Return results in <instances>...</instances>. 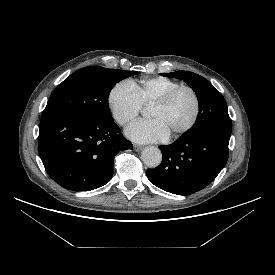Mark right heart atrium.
<instances>
[{
	"label": "right heart atrium",
	"mask_w": 275,
	"mask_h": 275,
	"mask_svg": "<svg viewBox=\"0 0 275 275\" xmlns=\"http://www.w3.org/2000/svg\"><path fill=\"white\" fill-rule=\"evenodd\" d=\"M108 105L114 120L121 126L129 124L142 110L136 85L130 79L116 83L109 92Z\"/></svg>",
	"instance_id": "right-heart-atrium-1"
}]
</instances>
